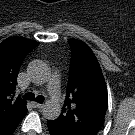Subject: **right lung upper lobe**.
Segmentation results:
<instances>
[{
	"instance_id": "right-lung-upper-lobe-1",
	"label": "right lung upper lobe",
	"mask_w": 135,
	"mask_h": 135,
	"mask_svg": "<svg viewBox=\"0 0 135 135\" xmlns=\"http://www.w3.org/2000/svg\"><path fill=\"white\" fill-rule=\"evenodd\" d=\"M38 45L19 37L0 44V135H10L27 113L25 100L13 96L19 68L27 53Z\"/></svg>"
}]
</instances>
